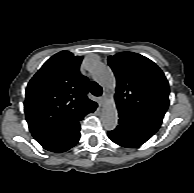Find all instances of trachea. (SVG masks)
<instances>
[{
  "label": "trachea",
  "instance_id": "obj_1",
  "mask_svg": "<svg viewBox=\"0 0 194 193\" xmlns=\"http://www.w3.org/2000/svg\"><path fill=\"white\" fill-rule=\"evenodd\" d=\"M90 92L94 95V96H101L102 95V88L101 86H99L96 82H91L90 83Z\"/></svg>",
  "mask_w": 194,
  "mask_h": 193
}]
</instances>
